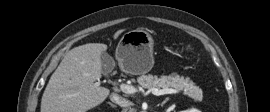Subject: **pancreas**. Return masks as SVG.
Wrapping results in <instances>:
<instances>
[{
  "label": "pancreas",
  "mask_w": 270,
  "mask_h": 112,
  "mask_svg": "<svg viewBox=\"0 0 270 112\" xmlns=\"http://www.w3.org/2000/svg\"><path fill=\"white\" fill-rule=\"evenodd\" d=\"M137 82L144 88L167 89L175 88L178 91L183 90L190 98L195 101H201L203 98L202 90L189 78L180 77L176 73L168 76L158 77L156 75L148 74L141 75L137 78Z\"/></svg>",
  "instance_id": "1"
}]
</instances>
